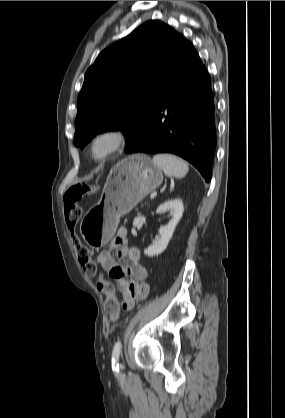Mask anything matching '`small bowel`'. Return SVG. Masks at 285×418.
I'll return each mask as SVG.
<instances>
[{"label":"small bowel","mask_w":285,"mask_h":418,"mask_svg":"<svg viewBox=\"0 0 285 418\" xmlns=\"http://www.w3.org/2000/svg\"><path fill=\"white\" fill-rule=\"evenodd\" d=\"M112 250H116V256L119 259L127 258L132 265L122 266L117 259L112 255ZM97 261L102 270L107 272L112 278L117 281L116 290L123 295L122 307L126 303H134L135 300L145 299L150 292V285L146 281L148 271L140 261V252L135 248L126 247V235L124 231H119L111 243L110 249L102 251ZM131 278L128 279L127 276ZM115 292V291H114ZM107 294V292H106Z\"/></svg>","instance_id":"1"}]
</instances>
